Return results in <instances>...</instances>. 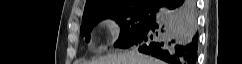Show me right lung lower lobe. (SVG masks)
Wrapping results in <instances>:
<instances>
[{"label":"right lung lower lobe","mask_w":242,"mask_h":64,"mask_svg":"<svg viewBox=\"0 0 242 64\" xmlns=\"http://www.w3.org/2000/svg\"><path fill=\"white\" fill-rule=\"evenodd\" d=\"M155 22L128 47L168 64H196L198 31L194 0H161Z\"/></svg>","instance_id":"right-lung-lower-lobe-1"}]
</instances>
